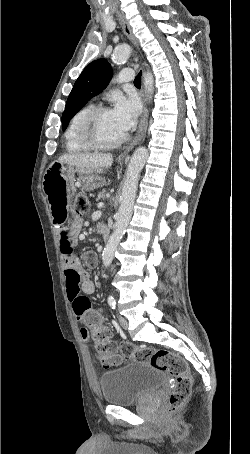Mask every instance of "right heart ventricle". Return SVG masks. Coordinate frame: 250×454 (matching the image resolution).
Returning <instances> with one entry per match:
<instances>
[{
    "mask_svg": "<svg viewBox=\"0 0 250 454\" xmlns=\"http://www.w3.org/2000/svg\"><path fill=\"white\" fill-rule=\"evenodd\" d=\"M93 108V104L85 105L84 107L79 109L71 118L64 133L65 147L68 152L81 153L89 151L91 149L80 141L78 136V129L84 115Z\"/></svg>",
    "mask_w": 250,
    "mask_h": 454,
    "instance_id": "obj_1",
    "label": "right heart ventricle"
}]
</instances>
